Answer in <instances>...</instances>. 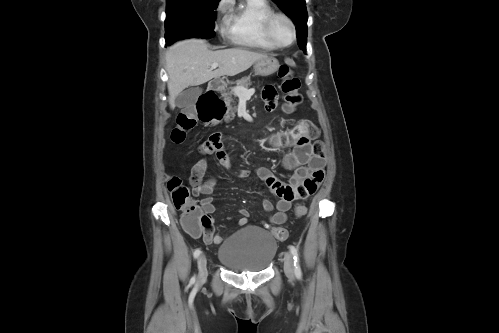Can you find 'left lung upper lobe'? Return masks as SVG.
Instances as JSON below:
<instances>
[{"label":"left lung upper lobe","mask_w":499,"mask_h":333,"mask_svg":"<svg viewBox=\"0 0 499 333\" xmlns=\"http://www.w3.org/2000/svg\"><path fill=\"white\" fill-rule=\"evenodd\" d=\"M295 23L297 41L303 51L306 49L307 11L305 0H273Z\"/></svg>","instance_id":"left-lung-upper-lobe-1"}]
</instances>
